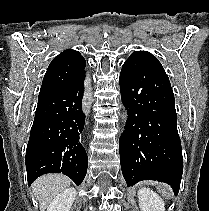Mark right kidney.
<instances>
[{"label":"right kidney","mask_w":209,"mask_h":211,"mask_svg":"<svg viewBox=\"0 0 209 211\" xmlns=\"http://www.w3.org/2000/svg\"><path fill=\"white\" fill-rule=\"evenodd\" d=\"M75 197V188H67L51 201L47 211H70Z\"/></svg>","instance_id":"obj_1"}]
</instances>
